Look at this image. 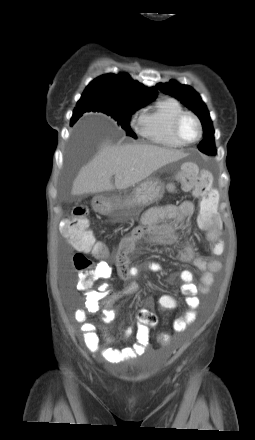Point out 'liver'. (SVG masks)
Wrapping results in <instances>:
<instances>
[{
  "label": "liver",
  "instance_id": "liver-1",
  "mask_svg": "<svg viewBox=\"0 0 255 440\" xmlns=\"http://www.w3.org/2000/svg\"><path fill=\"white\" fill-rule=\"evenodd\" d=\"M178 150L154 145L115 146L103 143L94 158L79 171L72 195L124 190L149 177L159 168L185 157ZM115 176V184L111 183Z\"/></svg>",
  "mask_w": 255,
  "mask_h": 440
}]
</instances>
